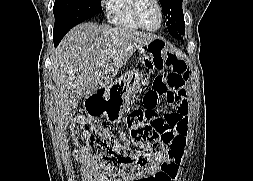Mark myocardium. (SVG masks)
<instances>
[{"label": "myocardium", "mask_w": 253, "mask_h": 181, "mask_svg": "<svg viewBox=\"0 0 253 181\" xmlns=\"http://www.w3.org/2000/svg\"><path fill=\"white\" fill-rule=\"evenodd\" d=\"M152 1L157 6L159 14H160V22H159V25L156 28H149L142 21L140 10H141V6H142L144 0H134L132 12H133V17H134L135 22L138 24V26L141 29H143L145 31H149V32H156L163 25V22H164V9H163V6H162L160 0H152Z\"/></svg>", "instance_id": "myocardium-1"}]
</instances>
